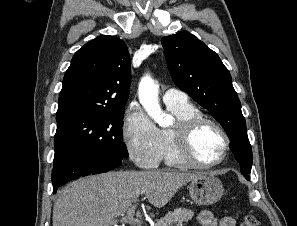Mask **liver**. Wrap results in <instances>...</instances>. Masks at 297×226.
<instances>
[{"label":"liver","mask_w":297,"mask_h":226,"mask_svg":"<svg viewBox=\"0 0 297 226\" xmlns=\"http://www.w3.org/2000/svg\"><path fill=\"white\" fill-rule=\"evenodd\" d=\"M203 176L169 171H112L80 178L60 191L53 207V226H111L141 194L151 205L161 208L178 189Z\"/></svg>","instance_id":"obj_1"}]
</instances>
